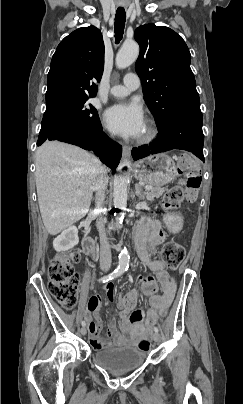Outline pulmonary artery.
Here are the masks:
<instances>
[{"mask_svg": "<svg viewBox=\"0 0 243 404\" xmlns=\"http://www.w3.org/2000/svg\"><path fill=\"white\" fill-rule=\"evenodd\" d=\"M118 62L120 64L126 63L122 55V50L118 52ZM140 86V78L135 73H127L124 75L122 83L115 85L111 88L110 92L113 96L122 97L127 95L130 91L138 89Z\"/></svg>", "mask_w": 243, "mask_h": 404, "instance_id": "pulmonary-artery-1", "label": "pulmonary artery"}]
</instances>
